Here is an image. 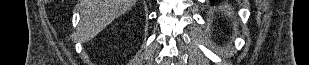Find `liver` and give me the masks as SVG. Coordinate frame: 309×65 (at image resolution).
<instances>
[{
    "label": "liver",
    "mask_w": 309,
    "mask_h": 65,
    "mask_svg": "<svg viewBox=\"0 0 309 65\" xmlns=\"http://www.w3.org/2000/svg\"><path fill=\"white\" fill-rule=\"evenodd\" d=\"M135 3L136 0H83L78 29L81 41L87 42L94 38Z\"/></svg>",
    "instance_id": "1"
}]
</instances>
